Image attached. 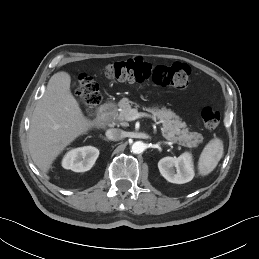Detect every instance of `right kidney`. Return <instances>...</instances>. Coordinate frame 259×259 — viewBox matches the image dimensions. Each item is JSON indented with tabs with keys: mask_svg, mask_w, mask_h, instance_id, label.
<instances>
[{
	"mask_svg": "<svg viewBox=\"0 0 259 259\" xmlns=\"http://www.w3.org/2000/svg\"><path fill=\"white\" fill-rule=\"evenodd\" d=\"M99 156V150L85 146L70 150L62 160V166L74 172H85L92 168Z\"/></svg>",
	"mask_w": 259,
	"mask_h": 259,
	"instance_id": "right-kidney-1",
	"label": "right kidney"
}]
</instances>
